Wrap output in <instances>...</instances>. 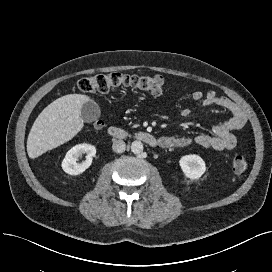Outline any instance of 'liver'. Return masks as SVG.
<instances>
[{
    "mask_svg": "<svg viewBox=\"0 0 272 272\" xmlns=\"http://www.w3.org/2000/svg\"><path fill=\"white\" fill-rule=\"evenodd\" d=\"M90 97L68 94L50 103L36 118L27 140L31 159L68 142L83 128L81 110Z\"/></svg>",
    "mask_w": 272,
    "mask_h": 272,
    "instance_id": "6515ba94",
    "label": "liver"
}]
</instances>
